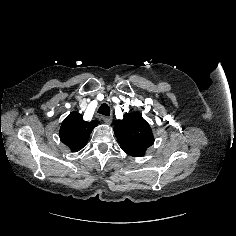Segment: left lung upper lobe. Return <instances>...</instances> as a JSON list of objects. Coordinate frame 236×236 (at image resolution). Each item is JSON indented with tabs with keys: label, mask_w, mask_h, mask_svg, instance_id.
Segmentation results:
<instances>
[{
	"label": "left lung upper lobe",
	"mask_w": 236,
	"mask_h": 236,
	"mask_svg": "<svg viewBox=\"0 0 236 236\" xmlns=\"http://www.w3.org/2000/svg\"><path fill=\"white\" fill-rule=\"evenodd\" d=\"M114 133L126 153H145L154 143L149 124L137 112L126 113L122 120H116Z\"/></svg>",
	"instance_id": "5c2ea615"
}]
</instances>
